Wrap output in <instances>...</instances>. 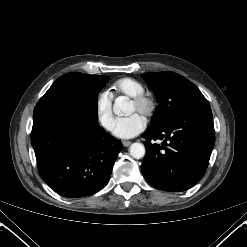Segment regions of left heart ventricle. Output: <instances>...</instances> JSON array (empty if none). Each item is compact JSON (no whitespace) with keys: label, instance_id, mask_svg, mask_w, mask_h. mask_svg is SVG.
I'll return each instance as SVG.
<instances>
[{"label":"left heart ventricle","instance_id":"1","mask_svg":"<svg viewBox=\"0 0 247 247\" xmlns=\"http://www.w3.org/2000/svg\"><path fill=\"white\" fill-rule=\"evenodd\" d=\"M134 112H137V108L133 103H130V107H129L128 113L131 114V113H134Z\"/></svg>","mask_w":247,"mask_h":247}]
</instances>
